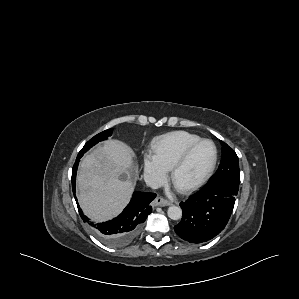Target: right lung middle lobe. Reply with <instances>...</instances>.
<instances>
[{
	"instance_id": "right-lung-middle-lobe-1",
	"label": "right lung middle lobe",
	"mask_w": 299,
	"mask_h": 299,
	"mask_svg": "<svg viewBox=\"0 0 299 299\" xmlns=\"http://www.w3.org/2000/svg\"><path fill=\"white\" fill-rule=\"evenodd\" d=\"M111 134H112V129H108L94 136L84 145L80 153H85L87 150H89L93 145H95L99 141L106 140L107 137L111 136Z\"/></svg>"
}]
</instances>
